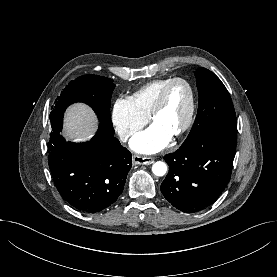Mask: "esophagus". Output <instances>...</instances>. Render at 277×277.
<instances>
[{
    "instance_id": "esophagus-1",
    "label": "esophagus",
    "mask_w": 277,
    "mask_h": 277,
    "mask_svg": "<svg viewBox=\"0 0 277 277\" xmlns=\"http://www.w3.org/2000/svg\"><path fill=\"white\" fill-rule=\"evenodd\" d=\"M154 162V158L150 156L134 155L132 157V163L134 165H150Z\"/></svg>"
}]
</instances>
